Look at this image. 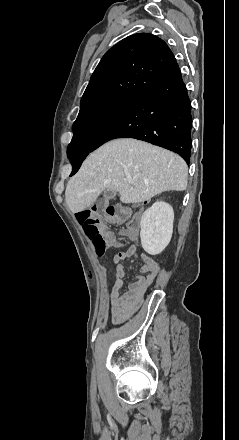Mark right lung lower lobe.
Returning a JSON list of instances; mask_svg holds the SVG:
<instances>
[{"mask_svg":"<svg viewBox=\"0 0 239 440\" xmlns=\"http://www.w3.org/2000/svg\"><path fill=\"white\" fill-rule=\"evenodd\" d=\"M191 103L178 64L159 82L137 96L86 152L67 151L73 172L86 156L115 138H135L179 154L187 164L191 156Z\"/></svg>","mask_w":239,"mask_h":440,"instance_id":"obj_1","label":"right lung lower lobe"}]
</instances>
